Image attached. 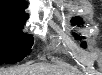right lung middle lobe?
Masks as SVG:
<instances>
[{
  "mask_svg": "<svg viewBox=\"0 0 102 75\" xmlns=\"http://www.w3.org/2000/svg\"><path fill=\"white\" fill-rule=\"evenodd\" d=\"M25 16L0 13V64H14L27 56L33 37L22 32Z\"/></svg>",
  "mask_w": 102,
  "mask_h": 75,
  "instance_id": "1",
  "label": "right lung middle lobe"
}]
</instances>
